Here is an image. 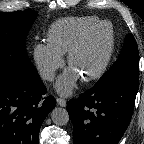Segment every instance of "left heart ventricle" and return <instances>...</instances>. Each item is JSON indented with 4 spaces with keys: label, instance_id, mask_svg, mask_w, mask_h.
Here are the masks:
<instances>
[{
    "label": "left heart ventricle",
    "instance_id": "left-heart-ventricle-1",
    "mask_svg": "<svg viewBox=\"0 0 144 144\" xmlns=\"http://www.w3.org/2000/svg\"><path fill=\"white\" fill-rule=\"evenodd\" d=\"M109 36V26H103L94 32L76 53L71 68L78 76H85L100 65L108 48Z\"/></svg>",
    "mask_w": 144,
    "mask_h": 144
}]
</instances>
